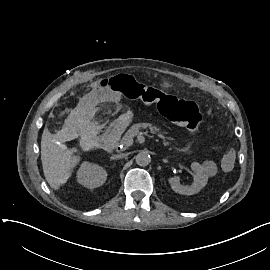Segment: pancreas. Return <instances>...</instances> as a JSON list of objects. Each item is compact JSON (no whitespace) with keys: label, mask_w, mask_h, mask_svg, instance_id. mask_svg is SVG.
<instances>
[{"label":"pancreas","mask_w":270,"mask_h":270,"mask_svg":"<svg viewBox=\"0 0 270 270\" xmlns=\"http://www.w3.org/2000/svg\"><path fill=\"white\" fill-rule=\"evenodd\" d=\"M147 127H149L151 129V132L152 133H155L156 131L159 132V129H157L156 127H152L151 124H149V123H137V124H134L131 127L130 130H128V132L125 134L124 137L125 138H132L134 136V131L135 130H139L140 128H144L145 129ZM159 137L163 139V145L164 146H168L169 145V142H167L165 140V137L163 135L160 134Z\"/></svg>","instance_id":"obj_1"}]
</instances>
